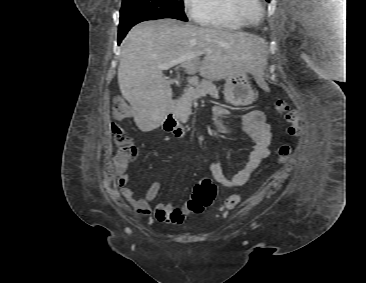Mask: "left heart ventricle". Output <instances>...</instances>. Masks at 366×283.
I'll return each instance as SVG.
<instances>
[{"instance_id":"left-heart-ventricle-1","label":"left heart ventricle","mask_w":366,"mask_h":283,"mask_svg":"<svg viewBox=\"0 0 366 283\" xmlns=\"http://www.w3.org/2000/svg\"><path fill=\"white\" fill-rule=\"evenodd\" d=\"M257 9L255 6H250L248 9V15L250 19L254 20L256 18Z\"/></svg>"}]
</instances>
